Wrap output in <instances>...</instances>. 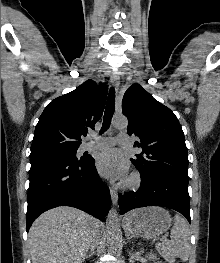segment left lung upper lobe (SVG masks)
<instances>
[{
    "mask_svg": "<svg viewBox=\"0 0 220 263\" xmlns=\"http://www.w3.org/2000/svg\"><path fill=\"white\" fill-rule=\"evenodd\" d=\"M128 118L127 133L139 137L142 153L131 158L142 177L168 173L188 181V155L181 125L168 107L139 84L130 86L122 100Z\"/></svg>",
    "mask_w": 220,
    "mask_h": 263,
    "instance_id": "obj_1",
    "label": "left lung upper lobe"
}]
</instances>
